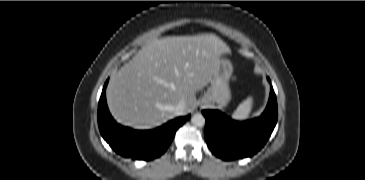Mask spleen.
I'll list each match as a JSON object with an SVG mask.
<instances>
[{
    "mask_svg": "<svg viewBox=\"0 0 365 180\" xmlns=\"http://www.w3.org/2000/svg\"><path fill=\"white\" fill-rule=\"evenodd\" d=\"M253 108V98L248 97L242 103L239 104L237 109L232 114V118L238 121H243L249 118V115Z\"/></svg>",
    "mask_w": 365,
    "mask_h": 180,
    "instance_id": "3e777b00",
    "label": "spleen"
}]
</instances>
